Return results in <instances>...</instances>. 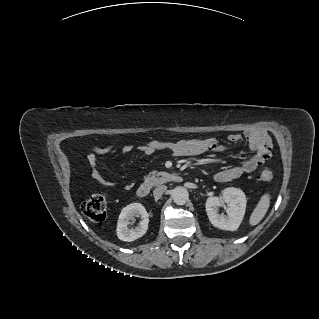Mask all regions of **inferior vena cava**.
Returning <instances> with one entry per match:
<instances>
[{
	"label": "inferior vena cava",
	"instance_id": "1",
	"mask_svg": "<svg viewBox=\"0 0 319 319\" xmlns=\"http://www.w3.org/2000/svg\"><path fill=\"white\" fill-rule=\"evenodd\" d=\"M167 190V186L161 185L154 189L153 196L155 199H159Z\"/></svg>",
	"mask_w": 319,
	"mask_h": 319
}]
</instances>
